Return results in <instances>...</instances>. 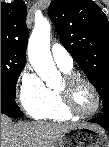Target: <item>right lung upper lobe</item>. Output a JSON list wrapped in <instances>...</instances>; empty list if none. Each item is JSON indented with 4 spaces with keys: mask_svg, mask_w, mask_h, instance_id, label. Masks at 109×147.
Instances as JSON below:
<instances>
[{
    "mask_svg": "<svg viewBox=\"0 0 109 147\" xmlns=\"http://www.w3.org/2000/svg\"><path fill=\"white\" fill-rule=\"evenodd\" d=\"M26 14L22 0L1 3V50L24 60L29 36Z\"/></svg>",
    "mask_w": 109,
    "mask_h": 147,
    "instance_id": "cb5924a9",
    "label": "right lung upper lobe"
}]
</instances>
